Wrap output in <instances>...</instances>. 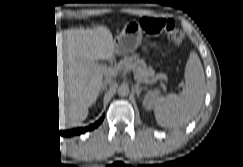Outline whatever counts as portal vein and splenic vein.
Returning <instances> with one entry per match:
<instances>
[{
	"label": "portal vein and splenic vein",
	"instance_id": "portal-vein-and-splenic-vein-1",
	"mask_svg": "<svg viewBox=\"0 0 243 167\" xmlns=\"http://www.w3.org/2000/svg\"><path fill=\"white\" fill-rule=\"evenodd\" d=\"M106 72H109L111 74H116L118 72V69L115 67V68H104L102 67Z\"/></svg>",
	"mask_w": 243,
	"mask_h": 167
}]
</instances>
